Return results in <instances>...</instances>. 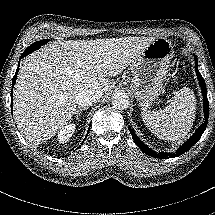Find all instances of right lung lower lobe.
I'll return each mask as SVG.
<instances>
[{
    "instance_id": "98d812e1",
    "label": "right lung lower lobe",
    "mask_w": 215,
    "mask_h": 215,
    "mask_svg": "<svg viewBox=\"0 0 215 215\" xmlns=\"http://www.w3.org/2000/svg\"><path fill=\"white\" fill-rule=\"evenodd\" d=\"M26 55H28L27 54V52L25 51L22 55H21V58L20 59H22L23 57H25ZM18 70H19V68H17V70H16V73H15V75H14V78H13V80H12V88H13V85L15 84V82H16V78H17V73H18ZM13 91L11 90V105H12V100H13ZM12 108V107H11ZM88 133H89V130H88ZM88 133H87V135H88ZM86 138V137H85ZM85 140V139H84Z\"/></svg>"
}]
</instances>
